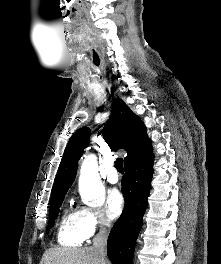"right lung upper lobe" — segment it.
<instances>
[{"mask_svg": "<svg viewBox=\"0 0 221 264\" xmlns=\"http://www.w3.org/2000/svg\"><path fill=\"white\" fill-rule=\"evenodd\" d=\"M112 109L111 117L102 133L111 148L126 150L125 166L153 156L151 140L140 118L119 98L114 100ZM90 134V129L83 127L69 139L53 184L51 199L66 194L71 187L76 176L78 160L89 145Z\"/></svg>", "mask_w": 221, "mask_h": 264, "instance_id": "cb5924a9", "label": "right lung upper lobe"}]
</instances>
